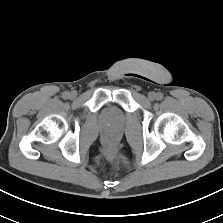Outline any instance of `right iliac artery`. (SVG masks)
<instances>
[{
	"instance_id": "1",
	"label": "right iliac artery",
	"mask_w": 223,
	"mask_h": 223,
	"mask_svg": "<svg viewBox=\"0 0 223 223\" xmlns=\"http://www.w3.org/2000/svg\"><path fill=\"white\" fill-rule=\"evenodd\" d=\"M63 98H64V99L69 98V92H64V93H63Z\"/></svg>"
}]
</instances>
